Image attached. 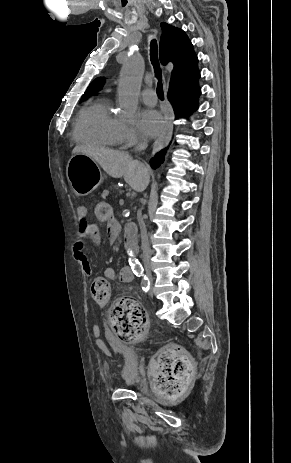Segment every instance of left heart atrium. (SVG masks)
<instances>
[{
  "label": "left heart atrium",
  "instance_id": "39dd6f15",
  "mask_svg": "<svg viewBox=\"0 0 291 463\" xmlns=\"http://www.w3.org/2000/svg\"><path fill=\"white\" fill-rule=\"evenodd\" d=\"M139 126L144 136L153 137L163 132L165 122L155 110H144L139 115Z\"/></svg>",
  "mask_w": 291,
  "mask_h": 463
}]
</instances>
